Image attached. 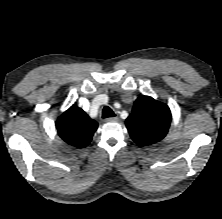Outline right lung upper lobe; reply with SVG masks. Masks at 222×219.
<instances>
[{
  "instance_id": "right-lung-upper-lobe-1",
  "label": "right lung upper lobe",
  "mask_w": 222,
  "mask_h": 219,
  "mask_svg": "<svg viewBox=\"0 0 222 219\" xmlns=\"http://www.w3.org/2000/svg\"><path fill=\"white\" fill-rule=\"evenodd\" d=\"M59 136L69 145L86 147L98 128V123L91 119L81 108L72 105L56 122Z\"/></svg>"
}]
</instances>
